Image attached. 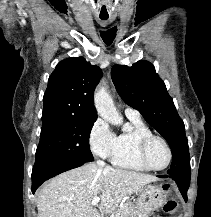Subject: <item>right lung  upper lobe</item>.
Returning <instances> with one entry per match:
<instances>
[{
	"label": "right lung upper lobe",
	"instance_id": "1",
	"mask_svg": "<svg viewBox=\"0 0 211 217\" xmlns=\"http://www.w3.org/2000/svg\"><path fill=\"white\" fill-rule=\"evenodd\" d=\"M102 71L83 57L60 61L48 80L42 119L71 116L97 119L93 92Z\"/></svg>",
	"mask_w": 211,
	"mask_h": 217
}]
</instances>
